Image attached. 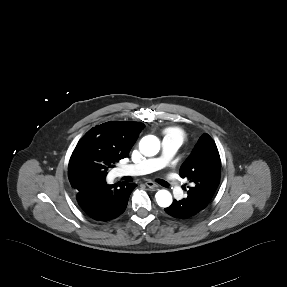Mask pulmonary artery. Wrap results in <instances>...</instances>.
<instances>
[{
    "label": "pulmonary artery",
    "mask_w": 287,
    "mask_h": 287,
    "mask_svg": "<svg viewBox=\"0 0 287 287\" xmlns=\"http://www.w3.org/2000/svg\"><path fill=\"white\" fill-rule=\"evenodd\" d=\"M180 147V140L173 135L165 136L162 141V154L158 157L149 158L135 165H124L117 170L118 176L142 175L165 167ZM167 183L176 198L182 195V187L179 179L172 172L165 174Z\"/></svg>",
    "instance_id": "obj_1"
}]
</instances>
